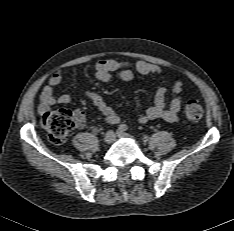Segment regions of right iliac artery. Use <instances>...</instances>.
<instances>
[{
    "instance_id": "obj_1",
    "label": "right iliac artery",
    "mask_w": 234,
    "mask_h": 231,
    "mask_svg": "<svg viewBox=\"0 0 234 231\" xmlns=\"http://www.w3.org/2000/svg\"><path fill=\"white\" fill-rule=\"evenodd\" d=\"M107 123L118 124V123H120V118L119 117H112L109 120H107Z\"/></svg>"
}]
</instances>
